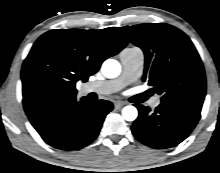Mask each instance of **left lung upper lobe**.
Segmentation results:
<instances>
[{
	"instance_id": "5c2ea615",
	"label": "left lung upper lobe",
	"mask_w": 220,
	"mask_h": 173,
	"mask_svg": "<svg viewBox=\"0 0 220 173\" xmlns=\"http://www.w3.org/2000/svg\"><path fill=\"white\" fill-rule=\"evenodd\" d=\"M145 54L142 80L161 96V103L201 113L206 79L200 56L189 37L165 24L118 28Z\"/></svg>"
}]
</instances>
